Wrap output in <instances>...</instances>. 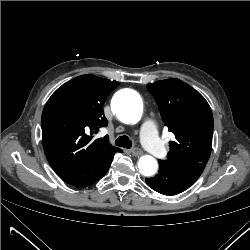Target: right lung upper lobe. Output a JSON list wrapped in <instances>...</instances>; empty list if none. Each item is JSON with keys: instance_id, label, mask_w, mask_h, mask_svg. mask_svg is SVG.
<instances>
[{"instance_id": "cb5924a9", "label": "right lung upper lobe", "mask_w": 250, "mask_h": 250, "mask_svg": "<svg viewBox=\"0 0 250 250\" xmlns=\"http://www.w3.org/2000/svg\"><path fill=\"white\" fill-rule=\"evenodd\" d=\"M118 85L117 81L81 75L51 95L41 126L45 155L55 172L82 168L107 151L120 150L111 146L108 136L93 140V134L107 126L103 104Z\"/></svg>"}]
</instances>
